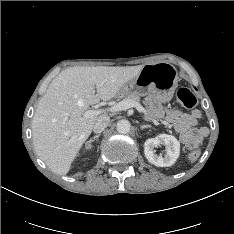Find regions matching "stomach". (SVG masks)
<instances>
[{
    "instance_id": "1",
    "label": "stomach",
    "mask_w": 234,
    "mask_h": 234,
    "mask_svg": "<svg viewBox=\"0 0 234 234\" xmlns=\"http://www.w3.org/2000/svg\"><path fill=\"white\" fill-rule=\"evenodd\" d=\"M178 76L173 66L166 63L147 64L140 73L118 92L120 97L130 94L154 95L162 103L169 102L177 87Z\"/></svg>"
}]
</instances>
